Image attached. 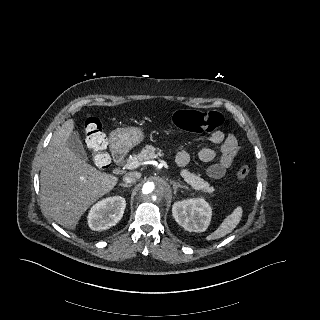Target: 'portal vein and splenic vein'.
<instances>
[{"label": "portal vein and splenic vein", "mask_w": 320, "mask_h": 320, "mask_svg": "<svg viewBox=\"0 0 320 320\" xmlns=\"http://www.w3.org/2000/svg\"><path fill=\"white\" fill-rule=\"evenodd\" d=\"M161 165L162 166H165L167 167V164L165 161L161 160ZM140 166V163L138 161H132V162H127L125 165H124V169H135L137 167Z\"/></svg>", "instance_id": "obj_1"}]
</instances>
